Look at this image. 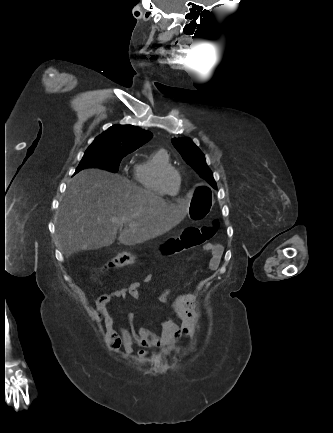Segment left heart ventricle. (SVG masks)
Masks as SVG:
<instances>
[{
  "mask_svg": "<svg viewBox=\"0 0 333 433\" xmlns=\"http://www.w3.org/2000/svg\"><path fill=\"white\" fill-rule=\"evenodd\" d=\"M164 185L167 192L174 194L178 186V178L175 173L169 172L164 178Z\"/></svg>",
  "mask_w": 333,
  "mask_h": 433,
  "instance_id": "1",
  "label": "left heart ventricle"
}]
</instances>
